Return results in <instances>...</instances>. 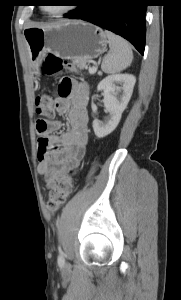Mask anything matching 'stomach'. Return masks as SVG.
I'll use <instances>...</instances> for the list:
<instances>
[{
  "mask_svg": "<svg viewBox=\"0 0 181 300\" xmlns=\"http://www.w3.org/2000/svg\"><path fill=\"white\" fill-rule=\"evenodd\" d=\"M28 54L36 73L47 53L86 63L107 47L105 32L91 23L68 21L45 27H29L23 32Z\"/></svg>",
  "mask_w": 181,
  "mask_h": 300,
  "instance_id": "0dacf381",
  "label": "stomach"
}]
</instances>
